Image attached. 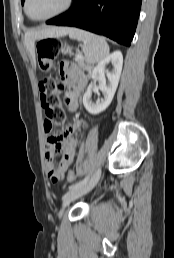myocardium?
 I'll return each mask as SVG.
<instances>
[{
	"mask_svg": "<svg viewBox=\"0 0 174 258\" xmlns=\"http://www.w3.org/2000/svg\"><path fill=\"white\" fill-rule=\"evenodd\" d=\"M72 3H73V0H66L63 7L60 8L59 10H57L56 12L49 14L47 16H44V17L34 18L29 14V11H28L29 0H25L24 1V12L33 21H46V20L52 19L54 17H57V16L65 13L72 6Z\"/></svg>",
	"mask_w": 174,
	"mask_h": 258,
	"instance_id": "f54148a6",
	"label": "myocardium"
}]
</instances>
